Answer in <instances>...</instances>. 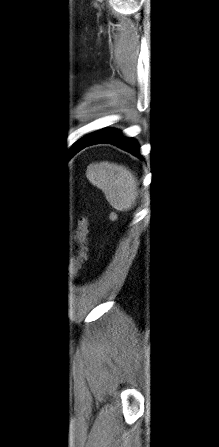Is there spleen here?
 I'll list each match as a JSON object with an SVG mask.
<instances>
[{"instance_id": "obj_1", "label": "spleen", "mask_w": 219, "mask_h": 447, "mask_svg": "<svg viewBox=\"0 0 219 447\" xmlns=\"http://www.w3.org/2000/svg\"><path fill=\"white\" fill-rule=\"evenodd\" d=\"M89 181L101 189L116 210H129L137 196V182L133 173L123 165L103 161L87 168Z\"/></svg>"}]
</instances>
